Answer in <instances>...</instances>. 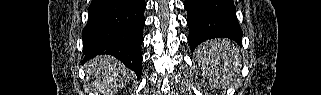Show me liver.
Returning <instances> with one entry per match:
<instances>
[{
  "label": "liver",
  "mask_w": 321,
  "mask_h": 95,
  "mask_svg": "<svg viewBox=\"0 0 321 95\" xmlns=\"http://www.w3.org/2000/svg\"><path fill=\"white\" fill-rule=\"evenodd\" d=\"M87 73L102 95H115L130 81L133 74L113 57L98 56L88 63Z\"/></svg>",
  "instance_id": "liver-1"
}]
</instances>
